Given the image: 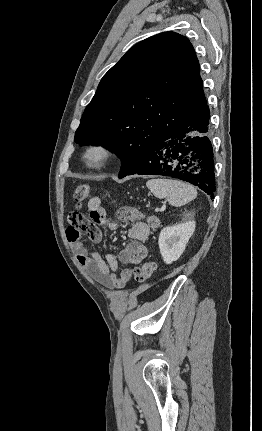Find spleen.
Returning a JSON list of instances; mask_svg holds the SVG:
<instances>
[{"label":"spleen","instance_id":"spleen-1","mask_svg":"<svg viewBox=\"0 0 262 431\" xmlns=\"http://www.w3.org/2000/svg\"><path fill=\"white\" fill-rule=\"evenodd\" d=\"M146 186L157 198H167L172 206H182L197 197L196 189L185 182L155 178L147 181Z\"/></svg>","mask_w":262,"mask_h":431}]
</instances>
